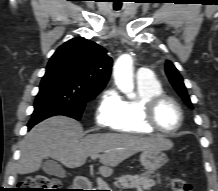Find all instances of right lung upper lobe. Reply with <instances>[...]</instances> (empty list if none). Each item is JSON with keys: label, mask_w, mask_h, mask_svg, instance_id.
Wrapping results in <instances>:
<instances>
[{"label": "right lung upper lobe", "mask_w": 218, "mask_h": 191, "mask_svg": "<svg viewBox=\"0 0 218 191\" xmlns=\"http://www.w3.org/2000/svg\"><path fill=\"white\" fill-rule=\"evenodd\" d=\"M112 59L107 51L83 37L61 45L50 58L47 68L64 71L86 85L103 89L111 74Z\"/></svg>", "instance_id": "1"}]
</instances>
